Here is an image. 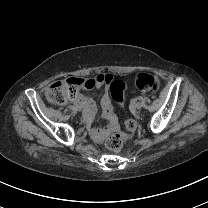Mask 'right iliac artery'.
Masks as SVG:
<instances>
[{"mask_svg":"<svg viewBox=\"0 0 208 208\" xmlns=\"http://www.w3.org/2000/svg\"><path fill=\"white\" fill-rule=\"evenodd\" d=\"M74 105H75V106H78L77 102H74Z\"/></svg>","mask_w":208,"mask_h":208,"instance_id":"1","label":"right iliac artery"}]
</instances>
